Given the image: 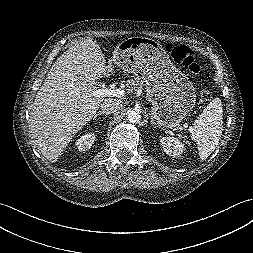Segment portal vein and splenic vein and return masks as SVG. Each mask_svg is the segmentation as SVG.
Listing matches in <instances>:
<instances>
[{
  "mask_svg": "<svg viewBox=\"0 0 253 253\" xmlns=\"http://www.w3.org/2000/svg\"><path fill=\"white\" fill-rule=\"evenodd\" d=\"M95 97H122L125 95V91L121 89H109L105 85H102L100 89L94 91ZM187 127V124L184 125Z\"/></svg>",
  "mask_w": 253,
  "mask_h": 253,
  "instance_id": "obj_1",
  "label": "portal vein and splenic vein"
}]
</instances>
